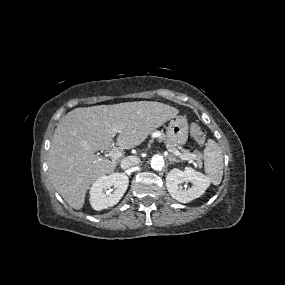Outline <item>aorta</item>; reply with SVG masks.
I'll return each mask as SVG.
<instances>
[{
	"instance_id": "762f6f07",
	"label": "aorta",
	"mask_w": 285,
	"mask_h": 285,
	"mask_svg": "<svg viewBox=\"0 0 285 285\" xmlns=\"http://www.w3.org/2000/svg\"><path fill=\"white\" fill-rule=\"evenodd\" d=\"M150 164H151V167L156 170V171H160L163 169L164 165H165V162H164V159L162 156L160 155H154L152 158H151V161H150Z\"/></svg>"
}]
</instances>
